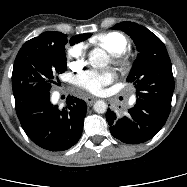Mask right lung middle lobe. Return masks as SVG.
I'll use <instances>...</instances> for the list:
<instances>
[{
    "label": "right lung middle lobe",
    "mask_w": 187,
    "mask_h": 187,
    "mask_svg": "<svg viewBox=\"0 0 187 187\" xmlns=\"http://www.w3.org/2000/svg\"><path fill=\"white\" fill-rule=\"evenodd\" d=\"M75 42L50 43L29 40L19 50L12 72L15 103L48 93L51 84L67 68L65 47Z\"/></svg>",
    "instance_id": "right-lung-middle-lobe-1"
}]
</instances>
